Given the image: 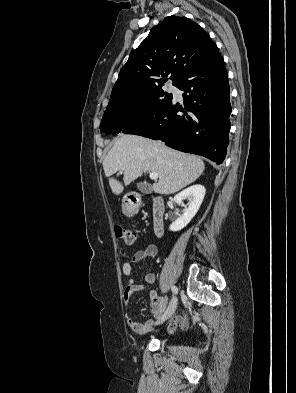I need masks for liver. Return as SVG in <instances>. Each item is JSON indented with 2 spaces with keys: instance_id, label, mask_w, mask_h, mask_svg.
<instances>
[{
  "instance_id": "liver-1",
  "label": "liver",
  "mask_w": 296,
  "mask_h": 393,
  "mask_svg": "<svg viewBox=\"0 0 296 393\" xmlns=\"http://www.w3.org/2000/svg\"><path fill=\"white\" fill-rule=\"evenodd\" d=\"M106 177L112 192L119 195L124 186L111 178L120 171L124 185H128L143 173L155 172L158 182L152 189L157 194L169 195L180 191L200 177L205 169L201 158L176 151L161 141H153L137 135H122L103 161Z\"/></svg>"
}]
</instances>
